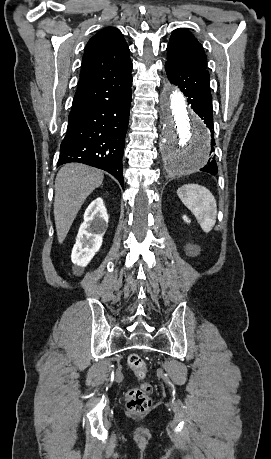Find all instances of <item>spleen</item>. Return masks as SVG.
I'll return each instance as SVG.
<instances>
[{
	"label": "spleen",
	"mask_w": 271,
	"mask_h": 459,
	"mask_svg": "<svg viewBox=\"0 0 271 459\" xmlns=\"http://www.w3.org/2000/svg\"><path fill=\"white\" fill-rule=\"evenodd\" d=\"M186 198H182L183 204L193 212L198 224L203 231H211L216 224L217 206L214 196L204 186L189 184Z\"/></svg>",
	"instance_id": "3e777b00"
}]
</instances>
